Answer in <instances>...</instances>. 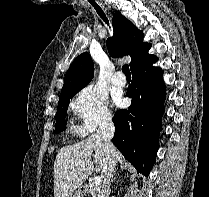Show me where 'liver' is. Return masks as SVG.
<instances>
[{"instance_id": "1", "label": "liver", "mask_w": 209, "mask_h": 197, "mask_svg": "<svg viewBox=\"0 0 209 197\" xmlns=\"http://www.w3.org/2000/svg\"><path fill=\"white\" fill-rule=\"evenodd\" d=\"M118 160L120 153L116 150V161ZM105 165L106 149L97 134L80 143L62 147L54 162V197H68L94 170L101 171L102 174Z\"/></svg>"}]
</instances>
